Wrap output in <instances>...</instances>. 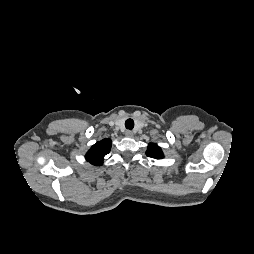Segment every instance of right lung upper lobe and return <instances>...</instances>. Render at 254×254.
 Listing matches in <instances>:
<instances>
[{
  "mask_svg": "<svg viewBox=\"0 0 254 254\" xmlns=\"http://www.w3.org/2000/svg\"><path fill=\"white\" fill-rule=\"evenodd\" d=\"M111 143L112 142L110 139H103V140L97 142L87 152V154L85 156L86 160L96 166L102 165L104 156L110 152Z\"/></svg>",
  "mask_w": 254,
  "mask_h": 254,
  "instance_id": "cb5924a9",
  "label": "right lung upper lobe"
}]
</instances>
